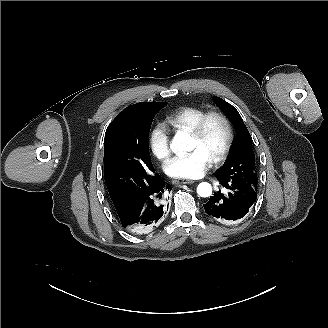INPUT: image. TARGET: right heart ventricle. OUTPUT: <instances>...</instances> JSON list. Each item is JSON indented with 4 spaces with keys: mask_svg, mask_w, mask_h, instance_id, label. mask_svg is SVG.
Here are the masks:
<instances>
[{
    "mask_svg": "<svg viewBox=\"0 0 328 328\" xmlns=\"http://www.w3.org/2000/svg\"><path fill=\"white\" fill-rule=\"evenodd\" d=\"M207 111L203 107L189 106L166 116V122L175 130L190 131Z\"/></svg>",
    "mask_w": 328,
    "mask_h": 328,
    "instance_id": "e07e8e85",
    "label": "right heart ventricle"
}]
</instances>
